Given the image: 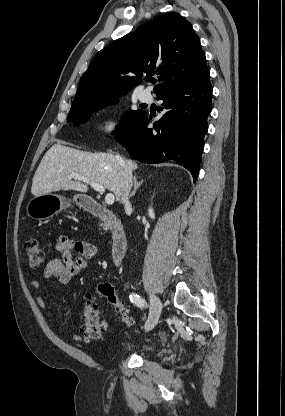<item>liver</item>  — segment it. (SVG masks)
<instances>
[{"label":"liver","mask_w":285,"mask_h":416,"mask_svg":"<svg viewBox=\"0 0 285 416\" xmlns=\"http://www.w3.org/2000/svg\"><path fill=\"white\" fill-rule=\"evenodd\" d=\"M131 170H137V164L125 160ZM68 174H80L91 182L104 186L120 202L122 166L113 154H90L74 148L54 144L43 156L32 180L33 196H42L59 190L87 192L88 186L82 182L68 180Z\"/></svg>","instance_id":"liver-1"}]
</instances>
